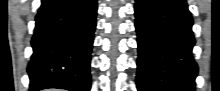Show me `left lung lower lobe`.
<instances>
[{
    "instance_id": "left-lung-lower-lobe-1",
    "label": "left lung lower lobe",
    "mask_w": 220,
    "mask_h": 91,
    "mask_svg": "<svg viewBox=\"0 0 220 91\" xmlns=\"http://www.w3.org/2000/svg\"><path fill=\"white\" fill-rule=\"evenodd\" d=\"M138 91H194L193 19L186 0H136Z\"/></svg>"
}]
</instances>
